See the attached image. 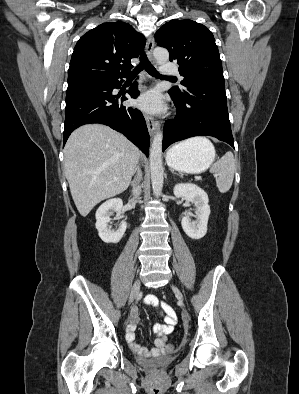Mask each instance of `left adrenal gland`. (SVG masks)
Masks as SVG:
<instances>
[{"label": "left adrenal gland", "instance_id": "left-adrenal-gland-1", "mask_svg": "<svg viewBox=\"0 0 299 394\" xmlns=\"http://www.w3.org/2000/svg\"><path fill=\"white\" fill-rule=\"evenodd\" d=\"M171 173L178 175V173H175L174 170L170 169Z\"/></svg>", "mask_w": 299, "mask_h": 394}]
</instances>
